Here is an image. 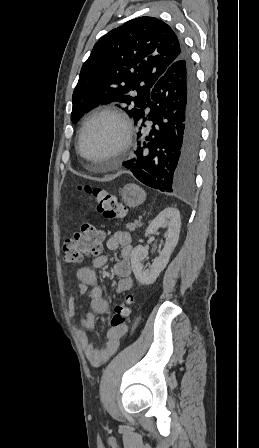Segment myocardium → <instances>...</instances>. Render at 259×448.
Listing matches in <instances>:
<instances>
[{"mask_svg": "<svg viewBox=\"0 0 259 448\" xmlns=\"http://www.w3.org/2000/svg\"><path fill=\"white\" fill-rule=\"evenodd\" d=\"M103 117L115 119L120 125V136L111 147V159L118 160L128 148L132 136V124L128 115L115 107L104 108L94 112L82 125L77 138V155L81 158V140L86 128L95 120Z\"/></svg>", "mask_w": 259, "mask_h": 448, "instance_id": "f54148a6", "label": "myocardium"}]
</instances>
